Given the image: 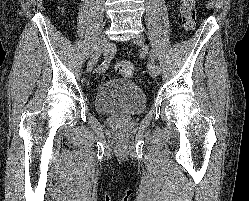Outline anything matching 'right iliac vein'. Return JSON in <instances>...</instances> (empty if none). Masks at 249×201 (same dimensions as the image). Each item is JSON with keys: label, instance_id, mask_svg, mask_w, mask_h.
I'll return each instance as SVG.
<instances>
[{"label": "right iliac vein", "instance_id": "right-iliac-vein-1", "mask_svg": "<svg viewBox=\"0 0 249 201\" xmlns=\"http://www.w3.org/2000/svg\"><path fill=\"white\" fill-rule=\"evenodd\" d=\"M107 38L106 36H102L98 42V45L93 53V55L91 56L88 65H87V71L90 72L92 71V69L94 68V66L96 65L100 55L102 54V52L107 48Z\"/></svg>", "mask_w": 249, "mask_h": 201}]
</instances>
